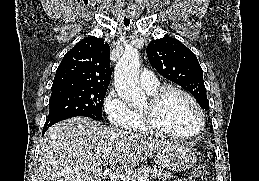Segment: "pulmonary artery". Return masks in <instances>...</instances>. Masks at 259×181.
Wrapping results in <instances>:
<instances>
[{"label":"pulmonary artery","mask_w":259,"mask_h":181,"mask_svg":"<svg viewBox=\"0 0 259 181\" xmlns=\"http://www.w3.org/2000/svg\"><path fill=\"white\" fill-rule=\"evenodd\" d=\"M140 85L143 89H152L158 85V80L153 72L145 70L140 75Z\"/></svg>","instance_id":"pulmonary-artery-1"}]
</instances>
